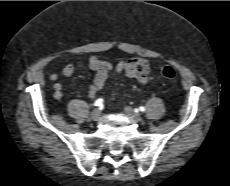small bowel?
Returning <instances> with one entry per match:
<instances>
[{
    "instance_id": "obj_1",
    "label": "small bowel",
    "mask_w": 230,
    "mask_h": 186,
    "mask_svg": "<svg viewBox=\"0 0 230 186\" xmlns=\"http://www.w3.org/2000/svg\"><path fill=\"white\" fill-rule=\"evenodd\" d=\"M89 68L95 73L93 83L88 88V95L94 97L105 85L110 73H123L128 78L136 79L141 84H147L152 79L151 67L149 62L140 57L121 60L116 66L98 58L91 56L88 62ZM76 66L73 63L66 64L62 69L65 77H70L75 72ZM50 79L54 82V97L63 98L62 84L58 81L56 73L51 74Z\"/></svg>"
}]
</instances>
